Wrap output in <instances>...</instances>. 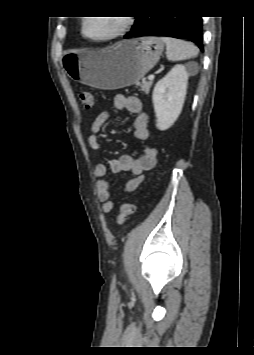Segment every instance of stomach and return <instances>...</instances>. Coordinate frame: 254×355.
Segmentation results:
<instances>
[{
  "label": "stomach",
  "instance_id": "0dacf381",
  "mask_svg": "<svg viewBox=\"0 0 254 355\" xmlns=\"http://www.w3.org/2000/svg\"><path fill=\"white\" fill-rule=\"evenodd\" d=\"M163 49L161 38L139 37L102 50L68 51L61 63L71 79L92 87L115 90L137 84L158 62Z\"/></svg>",
  "mask_w": 254,
  "mask_h": 355
}]
</instances>
